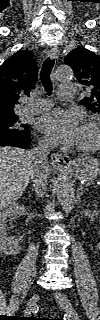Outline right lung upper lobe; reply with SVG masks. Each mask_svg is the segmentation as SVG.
Here are the masks:
<instances>
[{
    "instance_id": "1",
    "label": "right lung upper lobe",
    "mask_w": 100,
    "mask_h": 320,
    "mask_svg": "<svg viewBox=\"0 0 100 320\" xmlns=\"http://www.w3.org/2000/svg\"><path fill=\"white\" fill-rule=\"evenodd\" d=\"M31 51L20 50L0 66V119L17 117L14 107L36 83L37 67Z\"/></svg>"
}]
</instances>
